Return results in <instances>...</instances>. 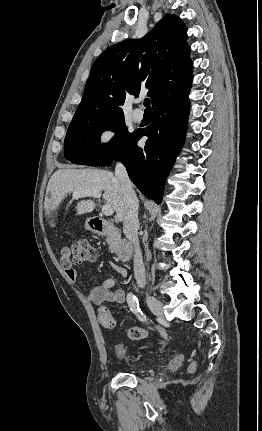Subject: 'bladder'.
I'll list each match as a JSON object with an SVG mask.
<instances>
[{
    "instance_id": "obj_1",
    "label": "bladder",
    "mask_w": 262,
    "mask_h": 431,
    "mask_svg": "<svg viewBox=\"0 0 262 431\" xmlns=\"http://www.w3.org/2000/svg\"><path fill=\"white\" fill-rule=\"evenodd\" d=\"M119 351L121 356H125L127 354V350L124 347H119ZM153 357L151 355H145L143 357H140L138 359L132 360L129 359V362L135 364V365H144V364H148L150 362H152Z\"/></svg>"
}]
</instances>
